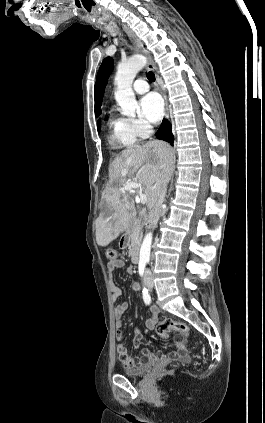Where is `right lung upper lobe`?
I'll use <instances>...</instances> for the list:
<instances>
[{
    "instance_id": "obj_1",
    "label": "right lung upper lobe",
    "mask_w": 265,
    "mask_h": 423,
    "mask_svg": "<svg viewBox=\"0 0 265 423\" xmlns=\"http://www.w3.org/2000/svg\"><path fill=\"white\" fill-rule=\"evenodd\" d=\"M101 114V110H100V106H99V102H98V98H97V93L95 90V115L99 116Z\"/></svg>"
}]
</instances>
